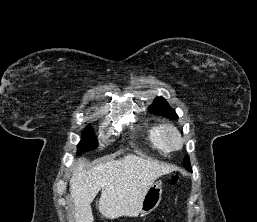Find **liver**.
I'll use <instances>...</instances> for the list:
<instances>
[{"instance_id":"liver-1","label":"liver","mask_w":257,"mask_h":222,"mask_svg":"<svg viewBox=\"0 0 257 222\" xmlns=\"http://www.w3.org/2000/svg\"><path fill=\"white\" fill-rule=\"evenodd\" d=\"M80 158L72 168L70 193L75 206V222H93L91 203L99 191V211L108 219L136 217L145 193L161 175L175 171L173 165L133 154L86 169Z\"/></svg>"}]
</instances>
